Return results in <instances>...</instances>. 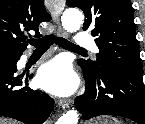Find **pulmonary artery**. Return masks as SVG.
Here are the masks:
<instances>
[{
  "label": "pulmonary artery",
  "mask_w": 145,
  "mask_h": 124,
  "mask_svg": "<svg viewBox=\"0 0 145 124\" xmlns=\"http://www.w3.org/2000/svg\"><path fill=\"white\" fill-rule=\"evenodd\" d=\"M76 45L81 48H89L94 52H98V48L94 44L93 37L84 31L78 33L76 38ZM23 60H25V58H23Z\"/></svg>",
  "instance_id": "1"
}]
</instances>
